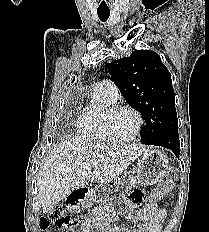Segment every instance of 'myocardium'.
Instances as JSON below:
<instances>
[{
    "instance_id": "myocardium-1",
    "label": "myocardium",
    "mask_w": 209,
    "mask_h": 232,
    "mask_svg": "<svg viewBox=\"0 0 209 232\" xmlns=\"http://www.w3.org/2000/svg\"><path fill=\"white\" fill-rule=\"evenodd\" d=\"M121 111L132 112L137 120V125H136L134 132L130 136L125 137V138L115 137L111 131V121H112L113 117ZM142 126H143V117H142L141 113L136 108H134L130 105H112L104 113L103 130H104V134H105L106 138L108 139V141L121 142V143L130 142L136 137V135L141 130Z\"/></svg>"
}]
</instances>
